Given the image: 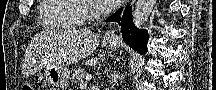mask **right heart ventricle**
Masks as SVG:
<instances>
[{
  "label": "right heart ventricle",
  "instance_id": "obj_1",
  "mask_svg": "<svg viewBox=\"0 0 216 90\" xmlns=\"http://www.w3.org/2000/svg\"><path fill=\"white\" fill-rule=\"evenodd\" d=\"M78 0H42L38 19L41 28H87L84 19H73L78 15Z\"/></svg>",
  "mask_w": 216,
  "mask_h": 90
}]
</instances>
